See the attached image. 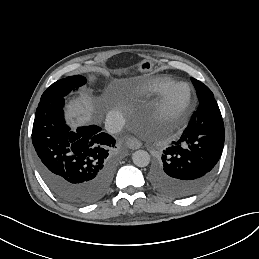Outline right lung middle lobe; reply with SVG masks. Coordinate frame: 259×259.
Returning a JSON list of instances; mask_svg holds the SVG:
<instances>
[{
    "instance_id": "right-lung-middle-lobe-1",
    "label": "right lung middle lobe",
    "mask_w": 259,
    "mask_h": 259,
    "mask_svg": "<svg viewBox=\"0 0 259 259\" xmlns=\"http://www.w3.org/2000/svg\"><path fill=\"white\" fill-rule=\"evenodd\" d=\"M86 82V78L81 75L60 79L45 90L41 96V100L65 97L71 91L83 86Z\"/></svg>"
}]
</instances>
